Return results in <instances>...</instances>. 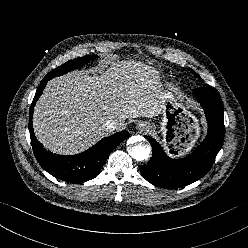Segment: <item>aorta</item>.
<instances>
[{
	"label": "aorta",
	"instance_id": "obj_1",
	"mask_svg": "<svg viewBox=\"0 0 248 248\" xmlns=\"http://www.w3.org/2000/svg\"><path fill=\"white\" fill-rule=\"evenodd\" d=\"M134 141H139V137L134 136L131 138ZM128 153L132 158L137 161L147 160L151 153V147L149 145L135 144L134 146L128 147Z\"/></svg>",
	"mask_w": 248,
	"mask_h": 248
}]
</instances>
